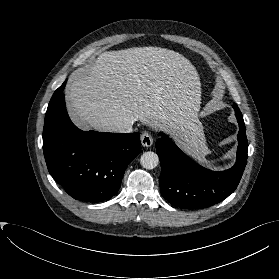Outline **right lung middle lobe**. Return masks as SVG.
I'll use <instances>...</instances> for the list:
<instances>
[{
  "mask_svg": "<svg viewBox=\"0 0 279 279\" xmlns=\"http://www.w3.org/2000/svg\"><path fill=\"white\" fill-rule=\"evenodd\" d=\"M57 90L54 92L49 104L53 103L57 99Z\"/></svg>",
  "mask_w": 279,
  "mask_h": 279,
  "instance_id": "dd1d6c3e",
  "label": "right lung middle lobe"
}]
</instances>
